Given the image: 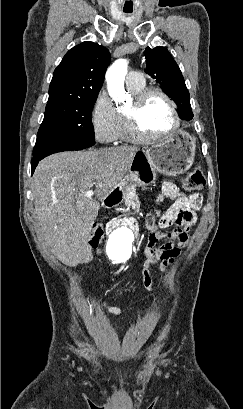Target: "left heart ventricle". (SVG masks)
Segmentation results:
<instances>
[{"label": "left heart ventricle", "mask_w": 243, "mask_h": 409, "mask_svg": "<svg viewBox=\"0 0 243 409\" xmlns=\"http://www.w3.org/2000/svg\"><path fill=\"white\" fill-rule=\"evenodd\" d=\"M132 104L126 112L130 111ZM141 129L149 135H158L167 131L173 123L168 103L159 95H152L139 112Z\"/></svg>", "instance_id": "obj_1"}]
</instances>
